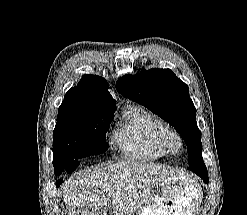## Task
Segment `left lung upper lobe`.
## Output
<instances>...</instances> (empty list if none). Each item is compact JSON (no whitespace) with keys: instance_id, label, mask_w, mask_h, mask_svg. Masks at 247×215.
Segmentation results:
<instances>
[{"instance_id":"left-lung-upper-lobe-1","label":"left lung upper lobe","mask_w":247,"mask_h":215,"mask_svg":"<svg viewBox=\"0 0 247 215\" xmlns=\"http://www.w3.org/2000/svg\"><path fill=\"white\" fill-rule=\"evenodd\" d=\"M116 89L174 126L186 142L191 171L204 165L201 132L195 120L196 109L188 86L170 69L143 68L136 75L129 74L118 79Z\"/></svg>"}]
</instances>
